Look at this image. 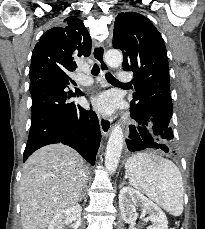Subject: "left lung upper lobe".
Wrapping results in <instances>:
<instances>
[{
  "instance_id": "left-lung-upper-lobe-1",
  "label": "left lung upper lobe",
  "mask_w": 205,
  "mask_h": 229,
  "mask_svg": "<svg viewBox=\"0 0 205 229\" xmlns=\"http://www.w3.org/2000/svg\"><path fill=\"white\" fill-rule=\"evenodd\" d=\"M113 48L123 52V69L133 72L135 92L130 108L148 112L168 125L172 101L168 57L161 34L145 16L122 12L115 20Z\"/></svg>"
}]
</instances>
